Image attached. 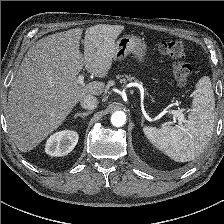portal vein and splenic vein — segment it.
<instances>
[{
  "mask_svg": "<svg viewBox=\"0 0 224 224\" xmlns=\"http://www.w3.org/2000/svg\"><path fill=\"white\" fill-rule=\"evenodd\" d=\"M77 83L80 84V85L84 84V76L83 75H79L78 76ZM169 113L174 115V116H176L178 121H179V123L185 122L184 114L181 111L172 110V111H169Z\"/></svg>",
  "mask_w": 224,
  "mask_h": 224,
  "instance_id": "portal-vein-and-splenic-vein-1",
  "label": "portal vein and splenic vein"
}]
</instances>
